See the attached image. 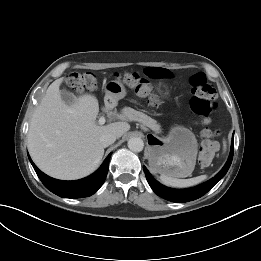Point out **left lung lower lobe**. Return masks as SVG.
Listing matches in <instances>:
<instances>
[{"mask_svg":"<svg viewBox=\"0 0 261 261\" xmlns=\"http://www.w3.org/2000/svg\"><path fill=\"white\" fill-rule=\"evenodd\" d=\"M233 153H234V134L232 137L230 155L222 170L209 181L189 189H172L163 186L150 175L149 171L146 169L145 166H143V170L145 172L146 179L150 187L158 196L172 202L184 203L200 198L201 196L206 194L219 180H221L224 177V175L227 173L232 163Z\"/></svg>","mask_w":261,"mask_h":261,"instance_id":"obj_1","label":"left lung lower lobe"}]
</instances>
